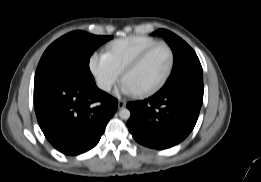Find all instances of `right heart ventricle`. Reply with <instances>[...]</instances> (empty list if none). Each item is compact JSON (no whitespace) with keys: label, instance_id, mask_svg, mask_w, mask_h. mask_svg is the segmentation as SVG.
I'll use <instances>...</instances> for the list:
<instances>
[{"label":"right heart ventricle","instance_id":"e07e8e85","mask_svg":"<svg viewBox=\"0 0 261 182\" xmlns=\"http://www.w3.org/2000/svg\"><path fill=\"white\" fill-rule=\"evenodd\" d=\"M158 43L157 40L146 36H130L116 40L107 45L105 54L119 72H123L139 54L150 46Z\"/></svg>","mask_w":261,"mask_h":182}]
</instances>
